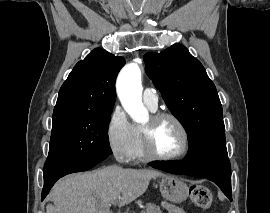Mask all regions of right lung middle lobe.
Returning a JSON list of instances; mask_svg holds the SVG:
<instances>
[{
	"instance_id": "dd1d6c3e",
	"label": "right lung middle lobe",
	"mask_w": 270,
	"mask_h": 213,
	"mask_svg": "<svg viewBox=\"0 0 270 213\" xmlns=\"http://www.w3.org/2000/svg\"><path fill=\"white\" fill-rule=\"evenodd\" d=\"M111 112L53 113L49 154L44 169L110 155L107 132Z\"/></svg>"
}]
</instances>
